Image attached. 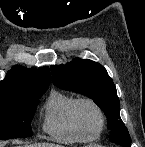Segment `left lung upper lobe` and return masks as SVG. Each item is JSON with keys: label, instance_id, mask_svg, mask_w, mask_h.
I'll use <instances>...</instances> for the list:
<instances>
[{"label": "left lung upper lobe", "instance_id": "5c2ea615", "mask_svg": "<svg viewBox=\"0 0 145 147\" xmlns=\"http://www.w3.org/2000/svg\"><path fill=\"white\" fill-rule=\"evenodd\" d=\"M52 81L58 88L88 96L104 111L110 141L130 147L131 138L120 118V101L106 69L91 60L75 58L65 65L51 66Z\"/></svg>", "mask_w": 145, "mask_h": 147}]
</instances>
